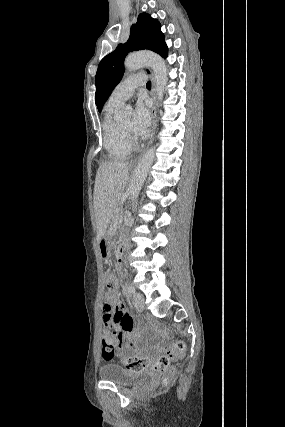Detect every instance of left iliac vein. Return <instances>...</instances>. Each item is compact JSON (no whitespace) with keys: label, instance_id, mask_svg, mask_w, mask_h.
Masks as SVG:
<instances>
[{"label":"left iliac vein","instance_id":"1","mask_svg":"<svg viewBox=\"0 0 285 427\" xmlns=\"http://www.w3.org/2000/svg\"><path fill=\"white\" fill-rule=\"evenodd\" d=\"M134 306L138 311H142L144 309V297L140 293L134 294Z\"/></svg>","mask_w":285,"mask_h":427}]
</instances>
